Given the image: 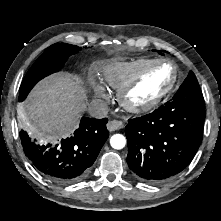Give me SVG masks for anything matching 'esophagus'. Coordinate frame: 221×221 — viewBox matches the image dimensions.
I'll list each match as a JSON object with an SVG mask.
<instances>
[{"instance_id":"esophagus-1","label":"esophagus","mask_w":221,"mask_h":221,"mask_svg":"<svg viewBox=\"0 0 221 221\" xmlns=\"http://www.w3.org/2000/svg\"><path fill=\"white\" fill-rule=\"evenodd\" d=\"M123 127H124L123 122L119 121V120H112V121L108 122V124H107V129L110 132L122 129Z\"/></svg>"}]
</instances>
